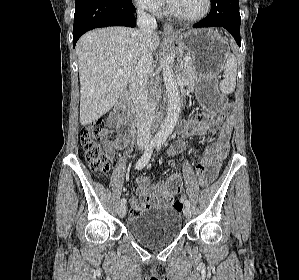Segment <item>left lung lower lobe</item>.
Segmentation results:
<instances>
[{
    "instance_id": "1",
    "label": "left lung lower lobe",
    "mask_w": 299,
    "mask_h": 280,
    "mask_svg": "<svg viewBox=\"0 0 299 280\" xmlns=\"http://www.w3.org/2000/svg\"><path fill=\"white\" fill-rule=\"evenodd\" d=\"M240 23L239 0H211V12L193 27H223L232 34L240 46Z\"/></svg>"
}]
</instances>
